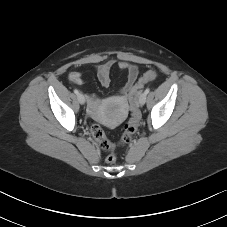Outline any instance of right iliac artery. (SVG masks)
Segmentation results:
<instances>
[{
    "mask_svg": "<svg viewBox=\"0 0 227 227\" xmlns=\"http://www.w3.org/2000/svg\"><path fill=\"white\" fill-rule=\"evenodd\" d=\"M74 93L78 95L79 94V91L77 89H75L74 90Z\"/></svg>",
    "mask_w": 227,
    "mask_h": 227,
    "instance_id": "1",
    "label": "right iliac artery"
}]
</instances>
